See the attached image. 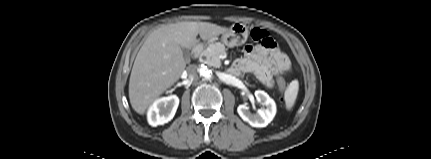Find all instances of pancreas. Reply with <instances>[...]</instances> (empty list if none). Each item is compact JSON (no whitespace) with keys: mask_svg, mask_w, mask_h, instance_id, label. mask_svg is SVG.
Wrapping results in <instances>:
<instances>
[{"mask_svg":"<svg viewBox=\"0 0 431 159\" xmlns=\"http://www.w3.org/2000/svg\"><path fill=\"white\" fill-rule=\"evenodd\" d=\"M226 53V48L223 44L216 42L210 44L203 52L204 63L208 66L220 67L221 61L219 56Z\"/></svg>","mask_w":431,"mask_h":159,"instance_id":"cf45deb5","label":"pancreas"}]
</instances>
